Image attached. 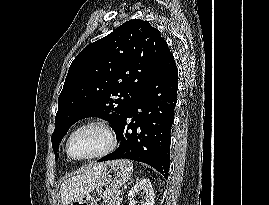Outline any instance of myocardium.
I'll return each instance as SVG.
<instances>
[{
	"label": "myocardium",
	"mask_w": 269,
	"mask_h": 205,
	"mask_svg": "<svg viewBox=\"0 0 269 205\" xmlns=\"http://www.w3.org/2000/svg\"><path fill=\"white\" fill-rule=\"evenodd\" d=\"M89 126H98L106 133V135L108 136V146L104 150L96 154H93L87 157H76L72 154V151H71L72 138L78 131ZM116 146H117V136L110 122H108L107 120L103 118H91L79 124L70 133L67 139V143H66V152H67V155L75 161H89V160L99 159L110 154L111 152L115 150Z\"/></svg>",
	"instance_id": "myocardium-1"
}]
</instances>
